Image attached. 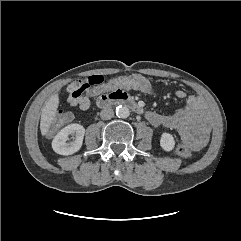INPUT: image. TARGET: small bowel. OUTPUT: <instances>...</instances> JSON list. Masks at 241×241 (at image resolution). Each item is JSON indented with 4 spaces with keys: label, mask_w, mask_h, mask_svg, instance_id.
Wrapping results in <instances>:
<instances>
[{
    "label": "small bowel",
    "mask_w": 241,
    "mask_h": 241,
    "mask_svg": "<svg viewBox=\"0 0 241 241\" xmlns=\"http://www.w3.org/2000/svg\"><path fill=\"white\" fill-rule=\"evenodd\" d=\"M138 76H142L137 74ZM68 103L78 105L81 111L90 108V99L86 96L74 98L70 95V85L67 87ZM178 98L185 99V106L173 113L147 111L145 117L155 126H163L178 131L182 142L192 150L204 147L209 139L210 117L204 102L196 95H188L182 90L176 92Z\"/></svg>",
    "instance_id": "1"
}]
</instances>
